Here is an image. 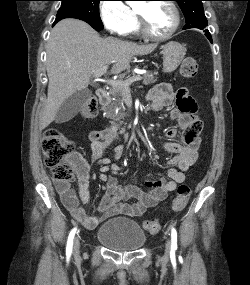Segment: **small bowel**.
<instances>
[{"mask_svg": "<svg viewBox=\"0 0 250 285\" xmlns=\"http://www.w3.org/2000/svg\"><path fill=\"white\" fill-rule=\"evenodd\" d=\"M147 99L154 110L170 106L173 102L176 103V107L170 112V117L177 121L179 129L182 130V141L163 144V149L172 154V157L168 160L169 180L165 178H148L145 182L146 191L132 183L119 184L114 176L106 174L111 160H119L124 152L118 131L114 128L90 131L88 139L90 141L91 158L100 165V179L106 183V192L98 208L101 215H88L81 206V204H87L90 199L91 174L88 163L80 154L73 153L71 159L78 180V193L67 182L56 183L57 192L65 208L75 220L87 229H94L102 220L112 216H142L148 208L164 200L169 192L174 191L178 184L185 181V173L197 158L202 123L187 107L190 103L197 106L195 101L187 95L184 89L175 92L168 83L157 84L151 88ZM166 135L169 138H175L178 135V129L171 127L167 129ZM112 143H116V146L107 155L106 148ZM128 199H133L134 202L127 203Z\"/></svg>", "mask_w": 250, "mask_h": 285, "instance_id": "obj_1", "label": "small bowel"}]
</instances>
